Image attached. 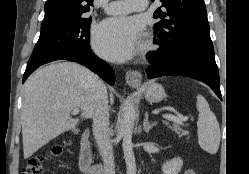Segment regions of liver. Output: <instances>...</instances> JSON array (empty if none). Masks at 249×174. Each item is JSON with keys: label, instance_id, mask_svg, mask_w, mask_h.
I'll use <instances>...</instances> for the list:
<instances>
[{"label": "liver", "instance_id": "liver-1", "mask_svg": "<svg viewBox=\"0 0 249 174\" xmlns=\"http://www.w3.org/2000/svg\"><path fill=\"white\" fill-rule=\"evenodd\" d=\"M101 80L74 62H54L35 71L24 84L21 114L24 159L79 123L92 117Z\"/></svg>", "mask_w": 249, "mask_h": 174}]
</instances>
